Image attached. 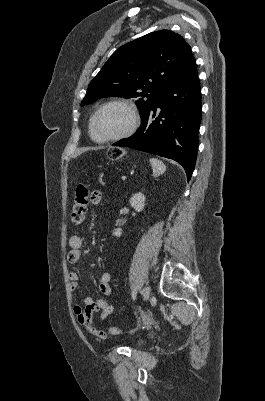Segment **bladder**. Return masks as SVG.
<instances>
[{
    "label": "bladder",
    "mask_w": 265,
    "mask_h": 401,
    "mask_svg": "<svg viewBox=\"0 0 265 401\" xmlns=\"http://www.w3.org/2000/svg\"><path fill=\"white\" fill-rule=\"evenodd\" d=\"M145 341H144V339H138L137 341H136V344L137 345H140V344H143Z\"/></svg>",
    "instance_id": "bladder-1"
}]
</instances>
